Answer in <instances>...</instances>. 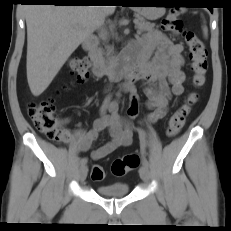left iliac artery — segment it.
<instances>
[{
    "mask_svg": "<svg viewBox=\"0 0 231 231\" xmlns=\"http://www.w3.org/2000/svg\"><path fill=\"white\" fill-rule=\"evenodd\" d=\"M139 134H140V140L142 141V154H143L142 164L145 165V166H147V167H149V162L146 159V157L144 156V149H143V143H144V140H145V133H144L143 130H140Z\"/></svg>",
    "mask_w": 231,
    "mask_h": 231,
    "instance_id": "left-iliac-artery-1",
    "label": "left iliac artery"
}]
</instances>
